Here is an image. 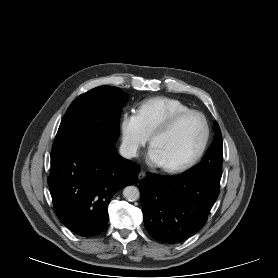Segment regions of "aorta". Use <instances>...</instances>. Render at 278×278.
Here are the masks:
<instances>
[{
  "label": "aorta",
  "instance_id": "762f6f07",
  "mask_svg": "<svg viewBox=\"0 0 278 278\" xmlns=\"http://www.w3.org/2000/svg\"><path fill=\"white\" fill-rule=\"evenodd\" d=\"M123 196L127 201L133 202L139 199L140 192L135 186H127L123 190Z\"/></svg>",
  "mask_w": 278,
  "mask_h": 278
}]
</instances>
